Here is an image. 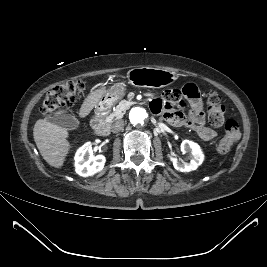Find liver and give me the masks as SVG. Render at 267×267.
Masks as SVG:
<instances>
[{
    "label": "liver",
    "instance_id": "obj_1",
    "mask_svg": "<svg viewBox=\"0 0 267 267\" xmlns=\"http://www.w3.org/2000/svg\"><path fill=\"white\" fill-rule=\"evenodd\" d=\"M104 92L105 88L91 92L80 108V115H88ZM62 113L63 111H58L55 115ZM68 135L69 133L66 128L48 122L46 119L38 120L33 129L34 141L40 154L49 165L55 168L63 166L71 147L67 140Z\"/></svg>",
    "mask_w": 267,
    "mask_h": 267
}]
</instances>
